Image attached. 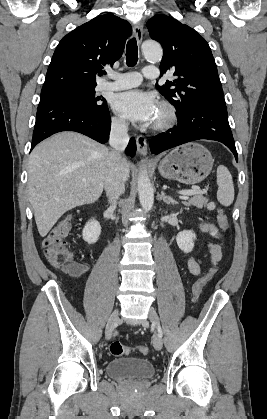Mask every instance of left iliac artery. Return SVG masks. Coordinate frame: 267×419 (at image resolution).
<instances>
[{
    "label": "left iliac artery",
    "mask_w": 267,
    "mask_h": 419,
    "mask_svg": "<svg viewBox=\"0 0 267 419\" xmlns=\"http://www.w3.org/2000/svg\"><path fill=\"white\" fill-rule=\"evenodd\" d=\"M158 332H159L160 336H162L163 332H162V329H161L160 326H158Z\"/></svg>",
    "instance_id": "1"
}]
</instances>
